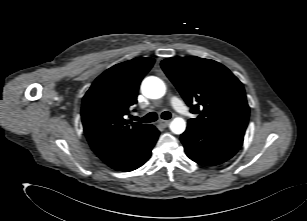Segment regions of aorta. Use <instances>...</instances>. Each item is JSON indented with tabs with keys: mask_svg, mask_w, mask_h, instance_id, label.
Returning <instances> with one entry per match:
<instances>
[{
	"mask_svg": "<svg viewBox=\"0 0 307 221\" xmlns=\"http://www.w3.org/2000/svg\"><path fill=\"white\" fill-rule=\"evenodd\" d=\"M142 93L150 99H158L164 96L166 86L164 82L155 76L145 78L141 85ZM186 129V122L181 117H176L170 123V130L174 134H182Z\"/></svg>",
	"mask_w": 307,
	"mask_h": 221,
	"instance_id": "obj_1",
	"label": "aorta"
}]
</instances>
